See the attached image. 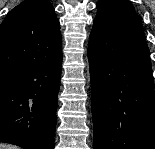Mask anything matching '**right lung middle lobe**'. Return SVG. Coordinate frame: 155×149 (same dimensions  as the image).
Here are the masks:
<instances>
[{
    "label": "right lung middle lobe",
    "mask_w": 155,
    "mask_h": 149,
    "mask_svg": "<svg viewBox=\"0 0 155 149\" xmlns=\"http://www.w3.org/2000/svg\"><path fill=\"white\" fill-rule=\"evenodd\" d=\"M14 74H0V84L14 78Z\"/></svg>",
    "instance_id": "obj_1"
}]
</instances>
